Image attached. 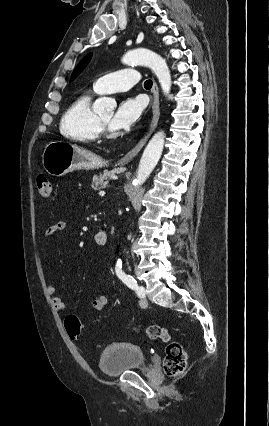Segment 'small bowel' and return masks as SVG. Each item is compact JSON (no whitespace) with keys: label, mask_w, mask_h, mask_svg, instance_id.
Instances as JSON below:
<instances>
[{"label":"small bowel","mask_w":269,"mask_h":426,"mask_svg":"<svg viewBox=\"0 0 269 426\" xmlns=\"http://www.w3.org/2000/svg\"><path fill=\"white\" fill-rule=\"evenodd\" d=\"M65 229H66V223L64 221H57L53 223L45 231L44 241L47 242L55 235L63 232ZM47 292L52 297V303L55 309L57 310V312L62 315L65 314L66 304L60 296L56 295V288L53 284L51 283L48 284ZM107 305H108V298L104 295H97L94 297L92 301V306L94 310L97 312L103 311Z\"/></svg>","instance_id":"small-bowel-1"}]
</instances>
